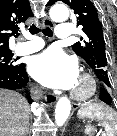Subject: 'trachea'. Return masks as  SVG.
Wrapping results in <instances>:
<instances>
[{
    "label": "trachea",
    "instance_id": "3493384b",
    "mask_svg": "<svg viewBox=\"0 0 117 136\" xmlns=\"http://www.w3.org/2000/svg\"><path fill=\"white\" fill-rule=\"evenodd\" d=\"M29 32L31 33V34H38L39 32H40V29L38 28V27H36L35 25H32L30 28H29ZM42 33L45 35V36H47V37H52L53 36V32H52V30L49 28V27H47V28H45V29H42Z\"/></svg>",
    "mask_w": 117,
    "mask_h": 136
}]
</instances>
